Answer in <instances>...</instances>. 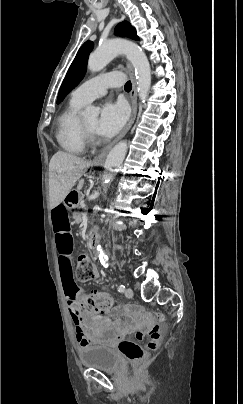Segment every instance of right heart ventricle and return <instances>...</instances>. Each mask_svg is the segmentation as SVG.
I'll list each match as a JSON object with an SVG mask.
<instances>
[{"label":"right heart ventricle","instance_id":"e07e8e85","mask_svg":"<svg viewBox=\"0 0 243 404\" xmlns=\"http://www.w3.org/2000/svg\"><path fill=\"white\" fill-rule=\"evenodd\" d=\"M104 45L101 43L96 50L99 51ZM86 102L78 96L76 89L71 93L67 106L59 114L56 123L55 140L60 148L69 155H83L88 149V140L84 138L80 129V110Z\"/></svg>","mask_w":243,"mask_h":404}]
</instances>
